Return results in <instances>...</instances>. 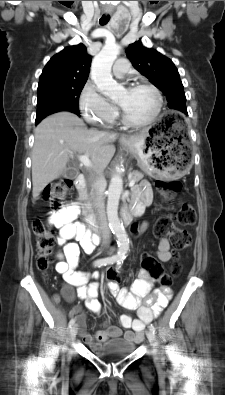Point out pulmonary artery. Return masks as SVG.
Here are the masks:
<instances>
[{"label":"pulmonary artery","mask_w":225,"mask_h":395,"mask_svg":"<svg viewBox=\"0 0 225 395\" xmlns=\"http://www.w3.org/2000/svg\"><path fill=\"white\" fill-rule=\"evenodd\" d=\"M129 68V63L126 59H118L113 66L114 76L121 78L123 77Z\"/></svg>","instance_id":"1"}]
</instances>
